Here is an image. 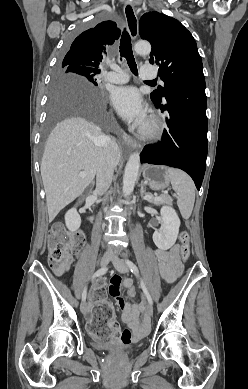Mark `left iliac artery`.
I'll return each instance as SVG.
<instances>
[{"mask_svg": "<svg viewBox=\"0 0 248 389\" xmlns=\"http://www.w3.org/2000/svg\"><path fill=\"white\" fill-rule=\"evenodd\" d=\"M126 264L128 265V267L130 268L131 272L132 273H135V274H139V270H138V267L130 260L126 259ZM141 288L144 292V294L146 295V298L148 300V302L152 305L153 304V301H152V298L143 282V280L141 279Z\"/></svg>", "mask_w": 248, "mask_h": 389, "instance_id": "left-iliac-artery-1", "label": "left iliac artery"}]
</instances>
